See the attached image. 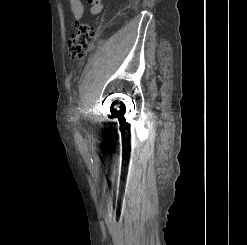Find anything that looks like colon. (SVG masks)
Wrapping results in <instances>:
<instances>
[{"label": "colon", "mask_w": 247, "mask_h": 245, "mask_svg": "<svg viewBox=\"0 0 247 245\" xmlns=\"http://www.w3.org/2000/svg\"><path fill=\"white\" fill-rule=\"evenodd\" d=\"M96 38V27L89 23H81L68 38V57L73 61L83 59Z\"/></svg>", "instance_id": "1"}]
</instances>
